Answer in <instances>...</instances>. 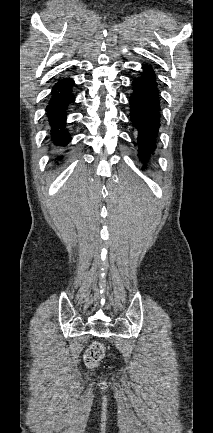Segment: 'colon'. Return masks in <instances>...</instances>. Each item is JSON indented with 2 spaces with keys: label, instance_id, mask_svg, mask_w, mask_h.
Returning <instances> with one entry per match:
<instances>
[{
  "label": "colon",
  "instance_id": "1",
  "mask_svg": "<svg viewBox=\"0 0 213 433\" xmlns=\"http://www.w3.org/2000/svg\"><path fill=\"white\" fill-rule=\"evenodd\" d=\"M105 356V347L101 342L92 343L85 352L84 361L87 367H96Z\"/></svg>",
  "mask_w": 213,
  "mask_h": 433
}]
</instances>
